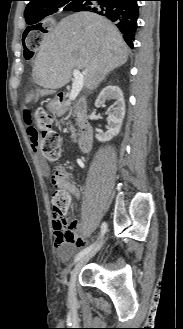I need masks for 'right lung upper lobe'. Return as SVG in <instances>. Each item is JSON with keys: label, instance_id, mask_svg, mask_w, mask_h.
I'll return each mask as SVG.
<instances>
[{"label": "right lung upper lobe", "instance_id": "cb5924a9", "mask_svg": "<svg viewBox=\"0 0 183 329\" xmlns=\"http://www.w3.org/2000/svg\"><path fill=\"white\" fill-rule=\"evenodd\" d=\"M24 16L25 20L29 21L31 17L42 15L46 10L50 8L52 4L61 0H29Z\"/></svg>", "mask_w": 183, "mask_h": 329}]
</instances>
